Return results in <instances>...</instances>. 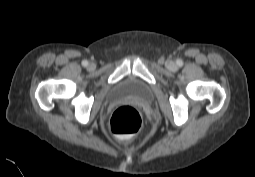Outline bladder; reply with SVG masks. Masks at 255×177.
<instances>
[{
	"instance_id": "bladder-1",
	"label": "bladder",
	"mask_w": 255,
	"mask_h": 177,
	"mask_svg": "<svg viewBox=\"0 0 255 177\" xmlns=\"http://www.w3.org/2000/svg\"><path fill=\"white\" fill-rule=\"evenodd\" d=\"M151 95L150 86L139 77L131 75L115 84L111 88L108 97L111 100L130 97L145 102L151 98Z\"/></svg>"
}]
</instances>
